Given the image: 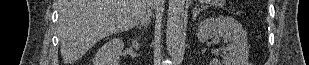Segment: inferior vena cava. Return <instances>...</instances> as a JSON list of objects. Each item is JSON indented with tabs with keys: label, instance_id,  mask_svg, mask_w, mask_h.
<instances>
[{
	"label": "inferior vena cava",
	"instance_id": "inferior-vena-cava-1",
	"mask_svg": "<svg viewBox=\"0 0 309 65\" xmlns=\"http://www.w3.org/2000/svg\"><path fill=\"white\" fill-rule=\"evenodd\" d=\"M157 4H160L159 2H157V0L149 1V4L146 6V8L141 14V17H140L141 25L147 27L150 24L151 16H152L151 10L155 8Z\"/></svg>",
	"mask_w": 309,
	"mask_h": 65
}]
</instances>
